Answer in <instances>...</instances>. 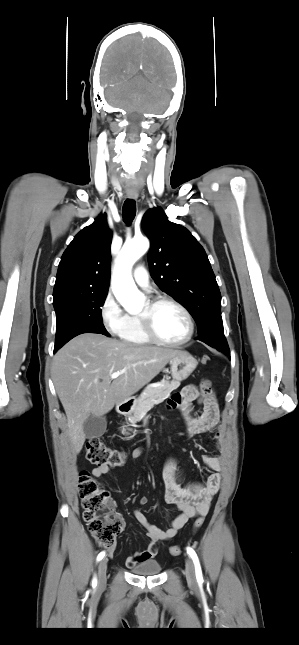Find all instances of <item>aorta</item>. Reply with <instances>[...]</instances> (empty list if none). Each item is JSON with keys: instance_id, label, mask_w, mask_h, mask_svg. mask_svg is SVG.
I'll use <instances>...</instances> for the list:
<instances>
[{"instance_id": "762f6f07", "label": "aorta", "mask_w": 299, "mask_h": 645, "mask_svg": "<svg viewBox=\"0 0 299 645\" xmlns=\"http://www.w3.org/2000/svg\"><path fill=\"white\" fill-rule=\"evenodd\" d=\"M149 248L145 238L134 239L123 245L117 266L113 275L112 290L119 303L130 313L142 308L144 295L137 289L131 275L134 263L142 257Z\"/></svg>"}]
</instances>
